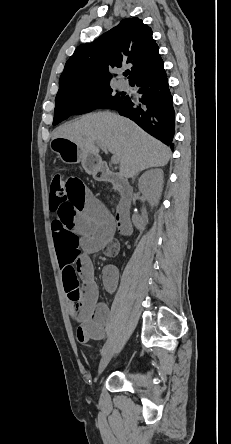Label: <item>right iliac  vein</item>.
<instances>
[{
    "instance_id": "63e3f726",
    "label": "right iliac vein",
    "mask_w": 231,
    "mask_h": 444,
    "mask_svg": "<svg viewBox=\"0 0 231 444\" xmlns=\"http://www.w3.org/2000/svg\"><path fill=\"white\" fill-rule=\"evenodd\" d=\"M113 355V349H107L106 352L103 354L100 364H99V368H98V375L96 380L99 378V376L102 374V372L104 371V369L106 368V366L108 365L111 357Z\"/></svg>"
}]
</instances>
